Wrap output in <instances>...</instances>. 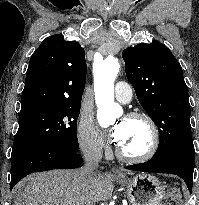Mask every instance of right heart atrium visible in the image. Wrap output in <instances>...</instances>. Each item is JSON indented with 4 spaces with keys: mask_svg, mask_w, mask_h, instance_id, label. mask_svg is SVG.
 I'll use <instances>...</instances> for the list:
<instances>
[{
    "mask_svg": "<svg viewBox=\"0 0 199 205\" xmlns=\"http://www.w3.org/2000/svg\"><path fill=\"white\" fill-rule=\"evenodd\" d=\"M77 140L82 152L91 158L100 157L105 149L104 141L89 115L83 114L77 127Z\"/></svg>",
    "mask_w": 199,
    "mask_h": 205,
    "instance_id": "d8ad5b80",
    "label": "right heart atrium"
}]
</instances>
